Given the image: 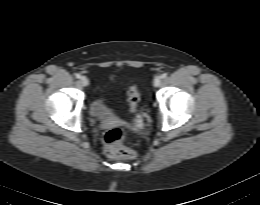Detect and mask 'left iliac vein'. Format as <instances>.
Instances as JSON below:
<instances>
[{
  "label": "left iliac vein",
  "instance_id": "obj_1",
  "mask_svg": "<svg viewBox=\"0 0 260 205\" xmlns=\"http://www.w3.org/2000/svg\"><path fill=\"white\" fill-rule=\"evenodd\" d=\"M161 82H162L161 78H160V77H156V78L154 79L153 85H154L155 87H159V86L161 85Z\"/></svg>",
  "mask_w": 260,
  "mask_h": 205
}]
</instances>
